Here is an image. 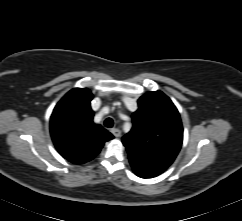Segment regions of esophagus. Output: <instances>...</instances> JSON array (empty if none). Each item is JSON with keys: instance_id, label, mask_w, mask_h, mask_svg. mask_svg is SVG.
<instances>
[{"instance_id": "1", "label": "esophagus", "mask_w": 242, "mask_h": 221, "mask_svg": "<svg viewBox=\"0 0 242 221\" xmlns=\"http://www.w3.org/2000/svg\"><path fill=\"white\" fill-rule=\"evenodd\" d=\"M111 132H112V134H113L115 137H120V136H121V131H120L118 128H113V129H111Z\"/></svg>"}]
</instances>
